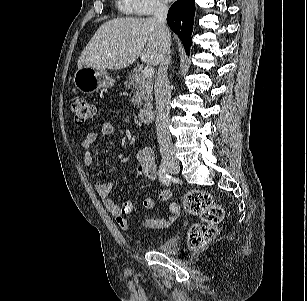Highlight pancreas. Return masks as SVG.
Wrapping results in <instances>:
<instances>
[{
    "label": "pancreas",
    "instance_id": "pancreas-1",
    "mask_svg": "<svg viewBox=\"0 0 307 301\" xmlns=\"http://www.w3.org/2000/svg\"><path fill=\"white\" fill-rule=\"evenodd\" d=\"M125 86L128 88H133L134 97L132 103L140 107L143 101H147L150 105L152 102L153 95V79L151 77H145L142 71H133L129 74Z\"/></svg>",
    "mask_w": 307,
    "mask_h": 301
}]
</instances>
